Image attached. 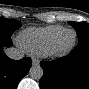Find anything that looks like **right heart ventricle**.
<instances>
[{
  "label": "right heart ventricle",
  "instance_id": "1",
  "mask_svg": "<svg viewBox=\"0 0 89 89\" xmlns=\"http://www.w3.org/2000/svg\"><path fill=\"white\" fill-rule=\"evenodd\" d=\"M63 29L60 25L30 27L20 33L18 40L28 53L44 55L51 39Z\"/></svg>",
  "mask_w": 89,
  "mask_h": 89
}]
</instances>
